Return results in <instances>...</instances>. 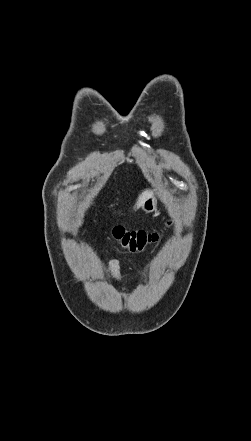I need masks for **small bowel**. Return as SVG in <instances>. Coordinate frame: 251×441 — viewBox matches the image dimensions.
Wrapping results in <instances>:
<instances>
[{
    "mask_svg": "<svg viewBox=\"0 0 251 441\" xmlns=\"http://www.w3.org/2000/svg\"><path fill=\"white\" fill-rule=\"evenodd\" d=\"M119 269L120 263L117 259L109 260L106 268L107 277L112 281H116Z\"/></svg>",
    "mask_w": 251,
    "mask_h": 441,
    "instance_id": "obj_1",
    "label": "small bowel"
}]
</instances>
